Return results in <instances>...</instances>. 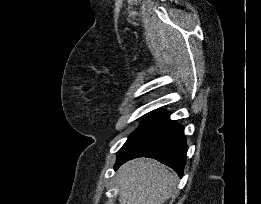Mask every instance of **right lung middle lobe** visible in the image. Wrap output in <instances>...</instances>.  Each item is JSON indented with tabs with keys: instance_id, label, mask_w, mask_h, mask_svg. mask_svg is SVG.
Masks as SVG:
<instances>
[{
	"instance_id": "right-lung-middle-lobe-1",
	"label": "right lung middle lobe",
	"mask_w": 261,
	"mask_h": 204,
	"mask_svg": "<svg viewBox=\"0 0 261 204\" xmlns=\"http://www.w3.org/2000/svg\"><path fill=\"white\" fill-rule=\"evenodd\" d=\"M151 114L152 112L148 113L145 117H143V120H146Z\"/></svg>"
}]
</instances>
